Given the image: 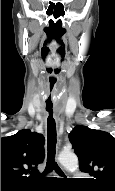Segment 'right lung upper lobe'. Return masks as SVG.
Returning <instances> with one entry per match:
<instances>
[{"label":"right lung upper lobe","instance_id":"cb5924a9","mask_svg":"<svg viewBox=\"0 0 115 191\" xmlns=\"http://www.w3.org/2000/svg\"><path fill=\"white\" fill-rule=\"evenodd\" d=\"M44 136L20 130L1 138V187L19 189L38 175L37 165L45 156Z\"/></svg>","mask_w":115,"mask_h":191}]
</instances>
